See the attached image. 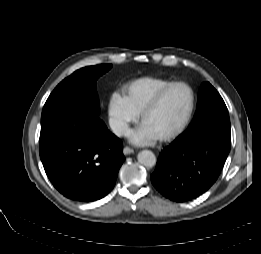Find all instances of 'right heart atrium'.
Listing matches in <instances>:
<instances>
[{
  "label": "right heart atrium",
  "mask_w": 261,
  "mask_h": 254,
  "mask_svg": "<svg viewBox=\"0 0 261 254\" xmlns=\"http://www.w3.org/2000/svg\"><path fill=\"white\" fill-rule=\"evenodd\" d=\"M109 115L113 131L118 135H124L130 124L137 120L138 114L133 110L127 95L115 93L109 106Z\"/></svg>",
  "instance_id": "obj_1"
}]
</instances>
